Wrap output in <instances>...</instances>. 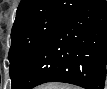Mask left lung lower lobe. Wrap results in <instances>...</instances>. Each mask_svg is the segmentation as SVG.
Returning a JSON list of instances; mask_svg holds the SVG:
<instances>
[{
  "instance_id": "0a47b994",
  "label": "left lung lower lobe",
  "mask_w": 107,
  "mask_h": 89,
  "mask_svg": "<svg viewBox=\"0 0 107 89\" xmlns=\"http://www.w3.org/2000/svg\"><path fill=\"white\" fill-rule=\"evenodd\" d=\"M107 64V2L87 0L45 41L12 89L65 82L103 89Z\"/></svg>"
}]
</instances>
